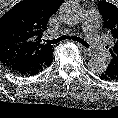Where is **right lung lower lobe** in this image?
I'll use <instances>...</instances> for the list:
<instances>
[{
	"mask_svg": "<svg viewBox=\"0 0 118 118\" xmlns=\"http://www.w3.org/2000/svg\"><path fill=\"white\" fill-rule=\"evenodd\" d=\"M9 70L12 72L19 74V75H25V76H31V75H36L42 70H39L37 68H22L17 65H12V66H6Z\"/></svg>",
	"mask_w": 118,
	"mask_h": 118,
	"instance_id": "98d812e1",
	"label": "right lung lower lobe"
}]
</instances>
